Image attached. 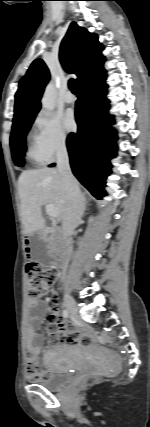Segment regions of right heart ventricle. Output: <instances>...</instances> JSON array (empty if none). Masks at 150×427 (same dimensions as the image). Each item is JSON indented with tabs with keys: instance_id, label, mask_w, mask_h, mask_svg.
<instances>
[{
	"instance_id": "e07e8e85",
	"label": "right heart ventricle",
	"mask_w": 150,
	"mask_h": 427,
	"mask_svg": "<svg viewBox=\"0 0 150 427\" xmlns=\"http://www.w3.org/2000/svg\"><path fill=\"white\" fill-rule=\"evenodd\" d=\"M25 155L27 159H29L30 161L36 164H42L45 162L43 156L41 155L37 147L35 135L33 134H29L27 136Z\"/></svg>"
}]
</instances>
